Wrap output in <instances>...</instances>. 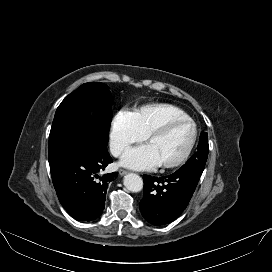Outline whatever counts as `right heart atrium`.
I'll return each instance as SVG.
<instances>
[{"instance_id":"right-heart-atrium-1","label":"right heart atrium","mask_w":272,"mask_h":272,"mask_svg":"<svg viewBox=\"0 0 272 272\" xmlns=\"http://www.w3.org/2000/svg\"><path fill=\"white\" fill-rule=\"evenodd\" d=\"M144 135L138 130L133 113L118 110L111 120L109 143L114 156H121L133 143L142 141Z\"/></svg>"}]
</instances>
